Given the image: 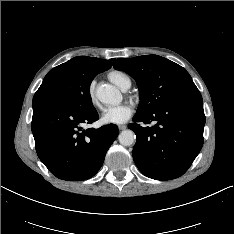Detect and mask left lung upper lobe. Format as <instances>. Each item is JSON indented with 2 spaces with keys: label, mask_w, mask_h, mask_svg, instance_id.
Wrapping results in <instances>:
<instances>
[{
  "label": "left lung upper lobe",
  "mask_w": 234,
  "mask_h": 234,
  "mask_svg": "<svg viewBox=\"0 0 234 234\" xmlns=\"http://www.w3.org/2000/svg\"><path fill=\"white\" fill-rule=\"evenodd\" d=\"M114 68L137 82L140 102L135 116L152 113L172 99L198 90L183 67L158 55L118 58Z\"/></svg>",
  "instance_id": "1"
}]
</instances>
